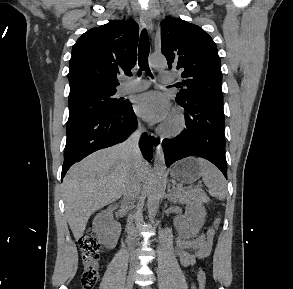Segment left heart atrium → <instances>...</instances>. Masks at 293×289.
<instances>
[{"instance_id": "1", "label": "left heart atrium", "mask_w": 293, "mask_h": 289, "mask_svg": "<svg viewBox=\"0 0 293 289\" xmlns=\"http://www.w3.org/2000/svg\"><path fill=\"white\" fill-rule=\"evenodd\" d=\"M134 109L140 117L152 123L165 121L170 114L167 99L157 92L140 95L135 101Z\"/></svg>"}]
</instances>
